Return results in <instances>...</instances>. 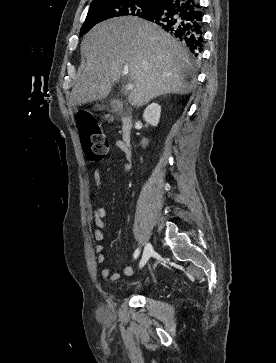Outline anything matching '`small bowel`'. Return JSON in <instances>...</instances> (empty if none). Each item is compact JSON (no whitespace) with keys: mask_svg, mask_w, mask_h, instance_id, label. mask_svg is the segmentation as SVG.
I'll return each instance as SVG.
<instances>
[{"mask_svg":"<svg viewBox=\"0 0 276 363\" xmlns=\"http://www.w3.org/2000/svg\"><path fill=\"white\" fill-rule=\"evenodd\" d=\"M117 146L119 148L123 147V142L121 141H117ZM123 167L124 169L128 170L131 168V155L130 154H126L124 162H123ZM93 178L95 181V184L97 186V188H101V174L100 171L98 169H95L93 171ZM107 214V210L104 207H99L96 208L93 212V219L95 221V224L97 226L96 230H95V239L98 242H101L103 240V233H102V229L105 227V222H104V218ZM95 253L97 256V262L100 265H104L105 261H106V257L104 254V247L101 244L96 245L95 247ZM122 274L127 276V277H131L134 275V270L131 266H125L122 269ZM121 273H111L109 267L107 266H103L100 270V275L102 278L104 279H109L112 282H116L119 281L121 279L122 276Z\"/></svg>","mask_w":276,"mask_h":363,"instance_id":"1","label":"small bowel"}]
</instances>
